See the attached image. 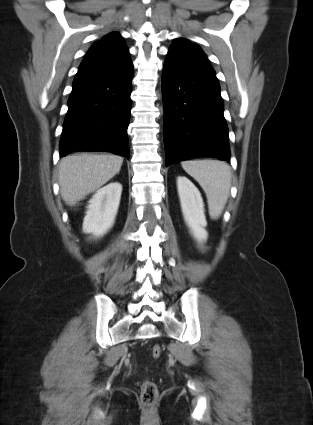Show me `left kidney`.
Instances as JSON below:
<instances>
[{
	"mask_svg": "<svg viewBox=\"0 0 313 425\" xmlns=\"http://www.w3.org/2000/svg\"><path fill=\"white\" fill-rule=\"evenodd\" d=\"M177 189L181 203L184 220L193 237L203 243L207 240L208 233L204 214V203L199 190L186 177H177Z\"/></svg>",
	"mask_w": 313,
	"mask_h": 425,
	"instance_id": "obj_1",
	"label": "left kidney"
}]
</instances>
